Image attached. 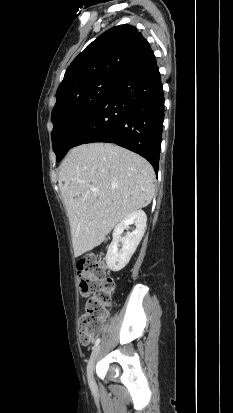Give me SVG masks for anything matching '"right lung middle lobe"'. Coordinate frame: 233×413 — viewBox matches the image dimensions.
I'll use <instances>...</instances> for the list:
<instances>
[{
  "instance_id": "obj_1",
  "label": "right lung middle lobe",
  "mask_w": 233,
  "mask_h": 413,
  "mask_svg": "<svg viewBox=\"0 0 233 413\" xmlns=\"http://www.w3.org/2000/svg\"><path fill=\"white\" fill-rule=\"evenodd\" d=\"M115 80L116 77L97 78L56 99L52 110L51 138L57 161L71 147Z\"/></svg>"
}]
</instances>
